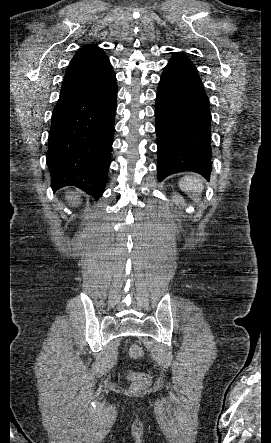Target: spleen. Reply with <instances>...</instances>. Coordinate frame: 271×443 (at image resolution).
Wrapping results in <instances>:
<instances>
[{
    "label": "spleen",
    "mask_w": 271,
    "mask_h": 443,
    "mask_svg": "<svg viewBox=\"0 0 271 443\" xmlns=\"http://www.w3.org/2000/svg\"><path fill=\"white\" fill-rule=\"evenodd\" d=\"M180 190L186 192L189 198L195 200V202H200L201 198L198 196L200 192H203V184L199 178H194V176H184L179 182Z\"/></svg>",
    "instance_id": "spleen-1"
}]
</instances>
